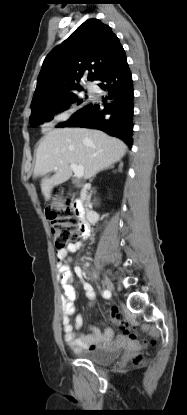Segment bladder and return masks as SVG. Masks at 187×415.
<instances>
[{
    "label": "bladder",
    "mask_w": 187,
    "mask_h": 415,
    "mask_svg": "<svg viewBox=\"0 0 187 415\" xmlns=\"http://www.w3.org/2000/svg\"><path fill=\"white\" fill-rule=\"evenodd\" d=\"M122 348L77 351V356L98 365H110L121 355Z\"/></svg>",
    "instance_id": "31cf9c89"
}]
</instances>
